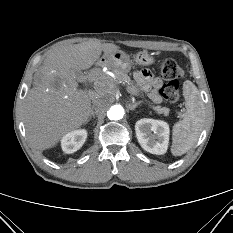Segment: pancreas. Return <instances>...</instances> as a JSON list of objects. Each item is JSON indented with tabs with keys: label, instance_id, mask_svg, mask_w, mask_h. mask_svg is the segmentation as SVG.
Instances as JSON below:
<instances>
[{
	"label": "pancreas",
	"instance_id": "cf45deb5",
	"mask_svg": "<svg viewBox=\"0 0 233 233\" xmlns=\"http://www.w3.org/2000/svg\"><path fill=\"white\" fill-rule=\"evenodd\" d=\"M115 74H116L118 81L126 82L127 90L130 94L135 95V96L140 95V91H139L137 85L130 79V77L127 74H125L124 72H122L121 70H118V69L115 70ZM104 77H106V75L104 73H102L98 77V79H103ZM150 107L157 114H163L165 116H167L169 114V108H167V107H161L159 105L155 106V105H152V103H150Z\"/></svg>",
	"mask_w": 233,
	"mask_h": 233
}]
</instances>
